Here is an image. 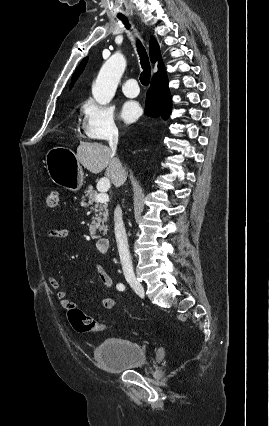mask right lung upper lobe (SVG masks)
Masks as SVG:
<instances>
[{"mask_svg":"<svg viewBox=\"0 0 269 426\" xmlns=\"http://www.w3.org/2000/svg\"><path fill=\"white\" fill-rule=\"evenodd\" d=\"M150 58H151L152 63H155L156 61H158V68L159 69H158V72L155 73L153 77H156V76L164 73L165 72L164 65H163V62L161 61V58H160V48H159L157 41L155 40V38L153 36H151V38H150ZM86 62H87V58H85L80 63L79 67L77 68V70L73 74L72 83L76 81L78 76L84 70Z\"/></svg>","mask_w":269,"mask_h":426,"instance_id":"1","label":"right lung upper lobe"}]
</instances>
